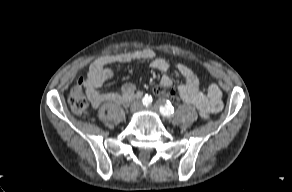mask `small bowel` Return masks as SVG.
I'll list each match as a JSON object with an SVG mask.
<instances>
[{
  "label": "small bowel",
  "instance_id": "1",
  "mask_svg": "<svg viewBox=\"0 0 292 192\" xmlns=\"http://www.w3.org/2000/svg\"><path fill=\"white\" fill-rule=\"evenodd\" d=\"M144 61H149L150 67L157 71L166 72L171 68L167 60L155 57V52L151 48L120 53L104 61L92 64L88 77L84 82V87L92 107L97 108L103 103L128 105L133 99L139 98L141 92L137 91L131 83L124 84L120 93L102 92L100 88L114 76V68L110 65L111 63L129 64ZM176 69L183 77L184 83L174 87L172 86L171 79L168 76H163L161 86L174 89L177 96L183 102L195 106L204 119L218 113L222 109V92L216 83L210 84L207 92L203 93L199 89V79L190 67L185 64H178Z\"/></svg>",
  "mask_w": 292,
  "mask_h": 192
}]
</instances>
